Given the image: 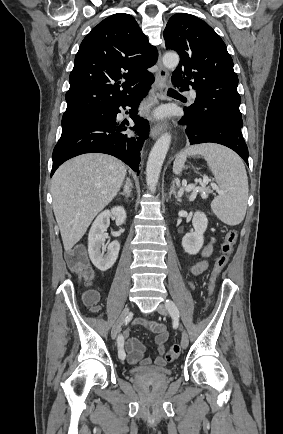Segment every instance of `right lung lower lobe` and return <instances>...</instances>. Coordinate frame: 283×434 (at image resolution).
Listing matches in <instances>:
<instances>
[{
	"mask_svg": "<svg viewBox=\"0 0 283 434\" xmlns=\"http://www.w3.org/2000/svg\"><path fill=\"white\" fill-rule=\"evenodd\" d=\"M153 81L154 77L152 76L151 79L141 84L131 96L104 113L77 120L64 127L53 151L51 176L66 160L92 152L113 155L138 172L140 150L144 140L149 136V124L147 120L137 116L136 112L140 101L147 95ZM120 106L132 108L130 117L136 126L131 129L136 131V135L125 134L124 131L127 129L125 123L116 122V114L120 112Z\"/></svg>",
	"mask_w": 283,
	"mask_h": 434,
	"instance_id": "1",
	"label": "right lung lower lobe"
}]
</instances>
